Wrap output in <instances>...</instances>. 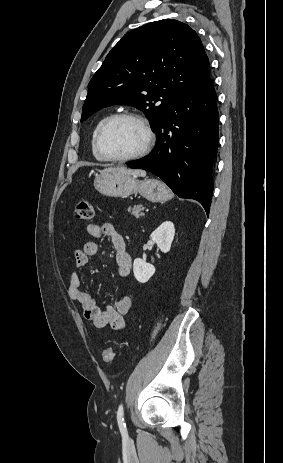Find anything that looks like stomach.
<instances>
[{"label": "stomach", "instance_id": "obj_1", "mask_svg": "<svg viewBox=\"0 0 283 463\" xmlns=\"http://www.w3.org/2000/svg\"><path fill=\"white\" fill-rule=\"evenodd\" d=\"M94 187L109 197L125 198L140 194L152 202L165 201L172 197L169 189L157 179L139 180L136 176L116 172H101L96 175Z\"/></svg>", "mask_w": 283, "mask_h": 463}]
</instances>
